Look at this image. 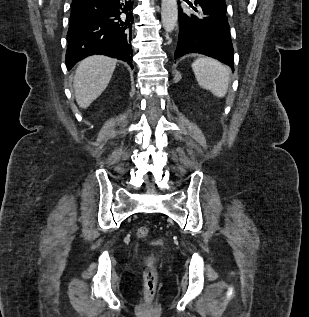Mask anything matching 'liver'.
<instances>
[{"mask_svg": "<svg viewBox=\"0 0 309 317\" xmlns=\"http://www.w3.org/2000/svg\"><path fill=\"white\" fill-rule=\"evenodd\" d=\"M116 60L94 55L82 60L75 72L74 90L77 104L86 109L108 86Z\"/></svg>", "mask_w": 309, "mask_h": 317, "instance_id": "obj_1", "label": "liver"}]
</instances>
